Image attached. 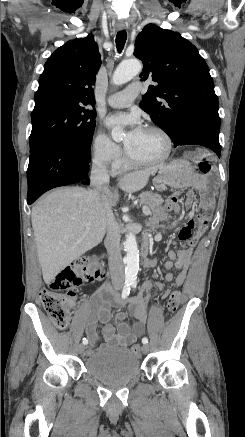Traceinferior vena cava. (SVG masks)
I'll use <instances>...</instances> for the list:
<instances>
[{
	"label": "inferior vena cava",
	"mask_w": 245,
	"mask_h": 437,
	"mask_svg": "<svg viewBox=\"0 0 245 437\" xmlns=\"http://www.w3.org/2000/svg\"><path fill=\"white\" fill-rule=\"evenodd\" d=\"M110 178L106 165L99 159H94L91 170V183L94 190L101 195L102 203L107 213V235L104 241L107 253L111 281L114 286H122L124 268L120 249V235L115 231L111 206L105 193L108 190Z\"/></svg>",
	"instance_id": "obj_1"
}]
</instances>
